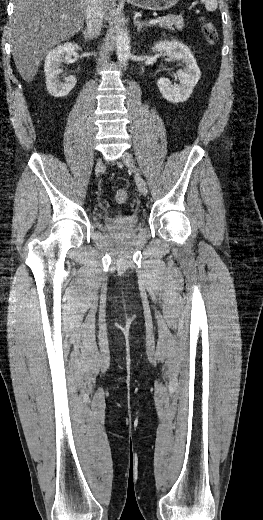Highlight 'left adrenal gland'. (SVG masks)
Segmentation results:
<instances>
[{
    "label": "left adrenal gland",
    "mask_w": 263,
    "mask_h": 520,
    "mask_svg": "<svg viewBox=\"0 0 263 520\" xmlns=\"http://www.w3.org/2000/svg\"><path fill=\"white\" fill-rule=\"evenodd\" d=\"M137 32L139 33L143 27H149L150 25L146 22H141L139 19L134 18L133 20Z\"/></svg>",
    "instance_id": "left-adrenal-gland-1"
}]
</instances>
